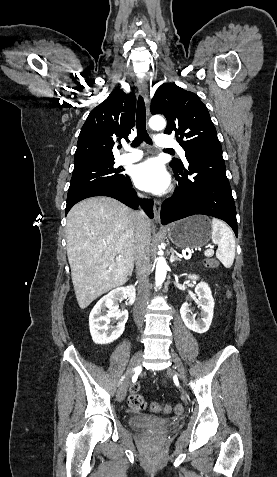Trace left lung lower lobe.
I'll list each match as a JSON object with an SVG mask.
<instances>
[{"mask_svg":"<svg viewBox=\"0 0 277 477\" xmlns=\"http://www.w3.org/2000/svg\"><path fill=\"white\" fill-rule=\"evenodd\" d=\"M189 168L171 166L178 173V186L161 208L162 224L195 214L213 216L227 222L236 237L238 227L231 187L226 177L222 149L188 153ZM187 175H194L188 179Z\"/></svg>","mask_w":277,"mask_h":477,"instance_id":"1","label":"left lung lower lobe"}]
</instances>
